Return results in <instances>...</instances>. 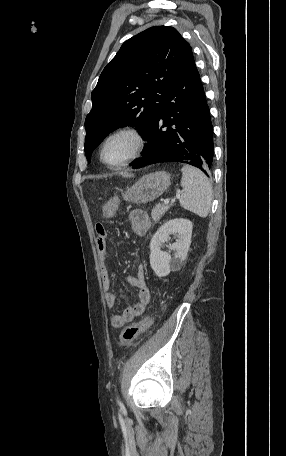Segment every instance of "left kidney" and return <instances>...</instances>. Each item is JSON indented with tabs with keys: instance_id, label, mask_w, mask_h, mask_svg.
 <instances>
[{
	"instance_id": "1",
	"label": "left kidney",
	"mask_w": 286,
	"mask_h": 456,
	"mask_svg": "<svg viewBox=\"0 0 286 456\" xmlns=\"http://www.w3.org/2000/svg\"><path fill=\"white\" fill-rule=\"evenodd\" d=\"M192 229L190 220L179 218L164 223L153 235L150 241V265L156 276L165 277L171 271L180 269L191 244ZM174 233H178V240L169 246L170 250L175 251L174 258H171L169 253L161 251V246Z\"/></svg>"
}]
</instances>
